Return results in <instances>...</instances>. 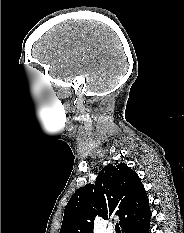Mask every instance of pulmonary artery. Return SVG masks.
Segmentation results:
<instances>
[{"instance_id":"e3ab8cb5","label":"pulmonary artery","mask_w":184,"mask_h":233,"mask_svg":"<svg viewBox=\"0 0 184 233\" xmlns=\"http://www.w3.org/2000/svg\"><path fill=\"white\" fill-rule=\"evenodd\" d=\"M108 233H113V229L110 228L109 231H108Z\"/></svg>"}]
</instances>
